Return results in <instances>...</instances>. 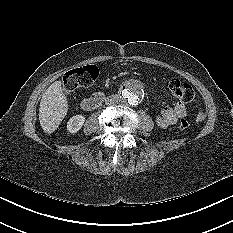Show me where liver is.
<instances>
[{"instance_id":"obj_1","label":"liver","mask_w":233,"mask_h":233,"mask_svg":"<svg viewBox=\"0 0 233 233\" xmlns=\"http://www.w3.org/2000/svg\"><path fill=\"white\" fill-rule=\"evenodd\" d=\"M61 84V81L52 83L40 101L39 121L44 132L48 134L59 127L68 111V101Z\"/></svg>"}]
</instances>
